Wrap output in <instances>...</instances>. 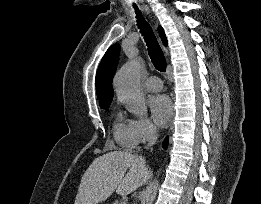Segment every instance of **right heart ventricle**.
Wrapping results in <instances>:
<instances>
[{"instance_id": "right-heart-ventricle-1", "label": "right heart ventricle", "mask_w": 261, "mask_h": 204, "mask_svg": "<svg viewBox=\"0 0 261 204\" xmlns=\"http://www.w3.org/2000/svg\"><path fill=\"white\" fill-rule=\"evenodd\" d=\"M114 138L120 145L130 148L133 147L131 132H130V121L124 119L121 114H117L113 125Z\"/></svg>"}]
</instances>
